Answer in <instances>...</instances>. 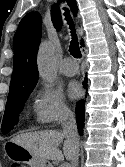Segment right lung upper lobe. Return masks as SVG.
Listing matches in <instances>:
<instances>
[{"label": "right lung upper lobe", "mask_w": 125, "mask_h": 167, "mask_svg": "<svg viewBox=\"0 0 125 167\" xmlns=\"http://www.w3.org/2000/svg\"><path fill=\"white\" fill-rule=\"evenodd\" d=\"M74 16L77 15L75 0H67ZM51 18L56 29L61 26V17L58 5L51 10ZM42 21L38 12L25 15L19 23L15 33L13 73L9 89V96L33 90L38 80L36 53L41 39ZM82 44V43H81Z\"/></svg>", "instance_id": "obj_1"}]
</instances>
